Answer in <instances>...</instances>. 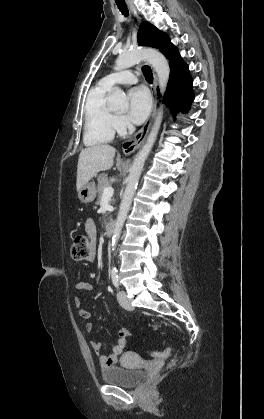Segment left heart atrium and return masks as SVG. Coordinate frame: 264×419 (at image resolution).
Segmentation results:
<instances>
[{"label":"left heart atrium","instance_id":"left-heart-atrium-1","mask_svg":"<svg viewBox=\"0 0 264 419\" xmlns=\"http://www.w3.org/2000/svg\"><path fill=\"white\" fill-rule=\"evenodd\" d=\"M151 108V98L144 88H134L129 92V117L136 123H142Z\"/></svg>","mask_w":264,"mask_h":419}]
</instances>
